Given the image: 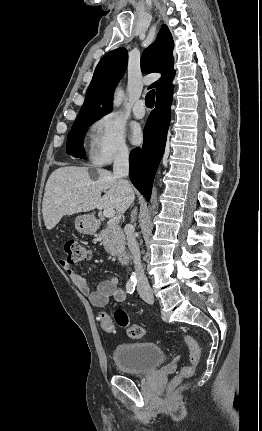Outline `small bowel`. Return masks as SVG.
Returning a JSON list of instances; mask_svg holds the SVG:
<instances>
[{"instance_id":"obj_1","label":"small bowel","mask_w":262,"mask_h":431,"mask_svg":"<svg viewBox=\"0 0 262 431\" xmlns=\"http://www.w3.org/2000/svg\"><path fill=\"white\" fill-rule=\"evenodd\" d=\"M62 268L70 277L73 285L85 295L90 303L97 308L106 307L112 298L115 303H122L126 300V291L118 287L119 278L111 277L100 282L95 289H91L86 280L77 273L71 266L61 263Z\"/></svg>"}]
</instances>
